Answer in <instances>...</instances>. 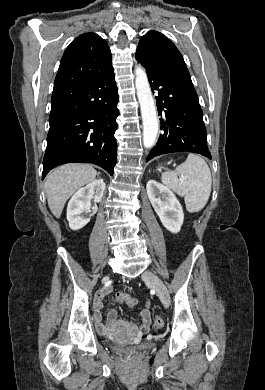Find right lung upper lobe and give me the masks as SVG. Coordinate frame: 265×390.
<instances>
[{
    "label": "right lung upper lobe",
    "mask_w": 265,
    "mask_h": 390,
    "mask_svg": "<svg viewBox=\"0 0 265 390\" xmlns=\"http://www.w3.org/2000/svg\"><path fill=\"white\" fill-rule=\"evenodd\" d=\"M111 51L97 34L84 33L67 47L60 62L54 90L85 81L111 65Z\"/></svg>",
    "instance_id": "cb5924a9"
}]
</instances>
